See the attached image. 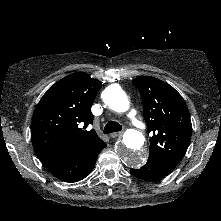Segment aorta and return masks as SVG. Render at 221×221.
Returning a JSON list of instances; mask_svg holds the SVG:
<instances>
[{"label":"aorta","mask_w":221,"mask_h":221,"mask_svg":"<svg viewBox=\"0 0 221 221\" xmlns=\"http://www.w3.org/2000/svg\"><path fill=\"white\" fill-rule=\"evenodd\" d=\"M104 102L112 110L117 112H126L130 107L127 95L119 86L115 85L105 90ZM143 146L144 137L142 133L135 129H128L125 131L116 153L120 160L127 166L139 168L145 160Z\"/></svg>","instance_id":"1"}]
</instances>
